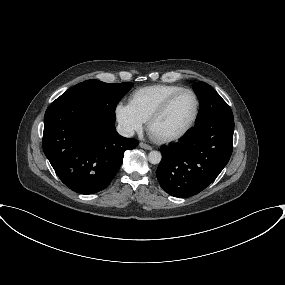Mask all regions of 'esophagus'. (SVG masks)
<instances>
[{"label":"esophagus","mask_w":285,"mask_h":285,"mask_svg":"<svg viewBox=\"0 0 285 285\" xmlns=\"http://www.w3.org/2000/svg\"><path fill=\"white\" fill-rule=\"evenodd\" d=\"M139 146L143 149H146V150H152V147L150 145L143 143V142H140Z\"/></svg>","instance_id":"obj_1"}]
</instances>
